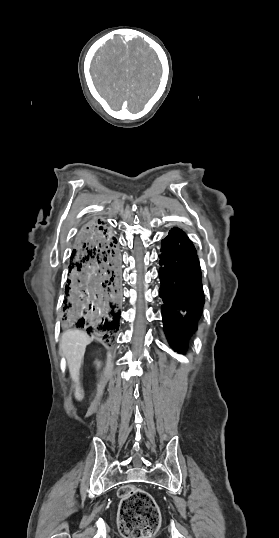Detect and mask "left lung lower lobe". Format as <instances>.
Instances as JSON below:
<instances>
[{
  "instance_id": "1",
  "label": "left lung lower lobe",
  "mask_w": 279,
  "mask_h": 538,
  "mask_svg": "<svg viewBox=\"0 0 279 538\" xmlns=\"http://www.w3.org/2000/svg\"><path fill=\"white\" fill-rule=\"evenodd\" d=\"M160 252L164 331L171 347L184 353L204 304L199 260L192 242L178 228L162 240Z\"/></svg>"
}]
</instances>
